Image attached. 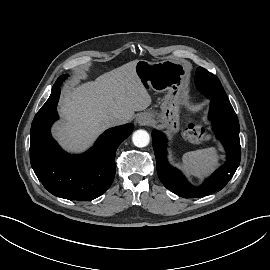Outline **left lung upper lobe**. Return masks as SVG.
I'll return each instance as SVG.
<instances>
[{
	"label": "left lung upper lobe",
	"mask_w": 270,
	"mask_h": 270,
	"mask_svg": "<svg viewBox=\"0 0 270 270\" xmlns=\"http://www.w3.org/2000/svg\"><path fill=\"white\" fill-rule=\"evenodd\" d=\"M195 82L198 90L210 100L229 102L219 79L207 70L197 68Z\"/></svg>",
	"instance_id": "left-lung-upper-lobe-1"
}]
</instances>
